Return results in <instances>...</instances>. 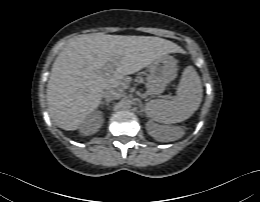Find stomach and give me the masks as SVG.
Returning <instances> with one entry per match:
<instances>
[{"label": "stomach", "instance_id": "stomach-1", "mask_svg": "<svg viewBox=\"0 0 260 202\" xmlns=\"http://www.w3.org/2000/svg\"><path fill=\"white\" fill-rule=\"evenodd\" d=\"M177 73L174 59L163 55L150 65V73L146 78V90L151 95L162 93L167 84L173 80Z\"/></svg>", "mask_w": 260, "mask_h": 202}]
</instances>
